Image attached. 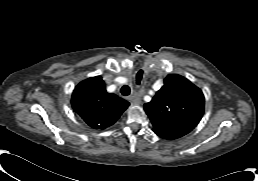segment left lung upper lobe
<instances>
[{
  "mask_svg": "<svg viewBox=\"0 0 258 181\" xmlns=\"http://www.w3.org/2000/svg\"><path fill=\"white\" fill-rule=\"evenodd\" d=\"M153 131L165 139H176L189 133L204 112L202 91L186 78L169 74L163 87L144 105Z\"/></svg>",
  "mask_w": 258,
  "mask_h": 181,
  "instance_id": "left-lung-upper-lobe-1",
  "label": "left lung upper lobe"
}]
</instances>
